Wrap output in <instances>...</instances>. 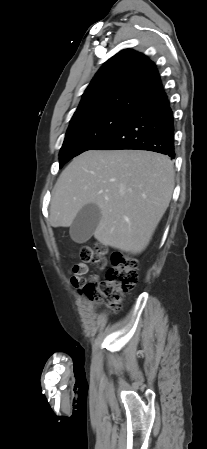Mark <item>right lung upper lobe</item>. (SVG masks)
Wrapping results in <instances>:
<instances>
[{"instance_id": "1", "label": "right lung upper lobe", "mask_w": 207, "mask_h": 449, "mask_svg": "<svg viewBox=\"0 0 207 449\" xmlns=\"http://www.w3.org/2000/svg\"><path fill=\"white\" fill-rule=\"evenodd\" d=\"M165 94L155 64L125 49L99 69L72 118L112 109L137 111Z\"/></svg>"}]
</instances>
